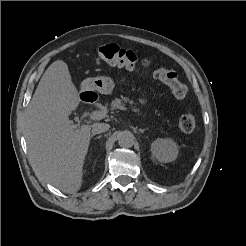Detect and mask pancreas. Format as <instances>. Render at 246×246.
<instances>
[{"instance_id": "cf45deb5", "label": "pancreas", "mask_w": 246, "mask_h": 246, "mask_svg": "<svg viewBox=\"0 0 246 246\" xmlns=\"http://www.w3.org/2000/svg\"><path fill=\"white\" fill-rule=\"evenodd\" d=\"M124 102H129L131 105H135L136 103L133 100H129L128 98L124 97L123 99L116 98L111 102V109H117L120 106L124 104ZM135 111H139L138 109H135Z\"/></svg>"}]
</instances>
